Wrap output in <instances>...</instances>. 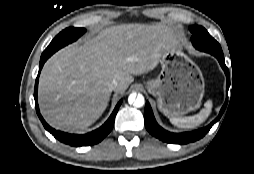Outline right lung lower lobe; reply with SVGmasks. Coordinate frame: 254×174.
<instances>
[{"mask_svg":"<svg viewBox=\"0 0 254 174\" xmlns=\"http://www.w3.org/2000/svg\"><path fill=\"white\" fill-rule=\"evenodd\" d=\"M50 56H41L40 59V64H39V73L35 82V90H34V99H35V107H36V112L44 126V128L50 132L56 139H58L59 141L71 145V146H89V145H94L99 143L101 140H103L107 134H109V132L112 130L113 125H114V121H115V116L118 112L119 106L122 103V100L119 101V103L116 105L114 111L112 112L111 116L109 117V119L98 129L84 134V135H75V134H68L65 132H61V131H56L55 129H53L52 127H50L45 120L43 119V117L40 114L39 111V107H38V102H37V90H38V78H39V74L40 71L44 65V63L46 62V60L49 58Z\"/></svg>","mask_w":254,"mask_h":174,"instance_id":"1","label":"right lung lower lobe"}]
</instances>
